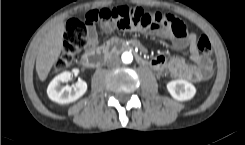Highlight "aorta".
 <instances>
[{"mask_svg":"<svg viewBox=\"0 0 245 145\" xmlns=\"http://www.w3.org/2000/svg\"><path fill=\"white\" fill-rule=\"evenodd\" d=\"M121 58L123 63L129 64L133 60V55L130 52H124Z\"/></svg>","mask_w":245,"mask_h":145,"instance_id":"762f6f07","label":"aorta"}]
</instances>
